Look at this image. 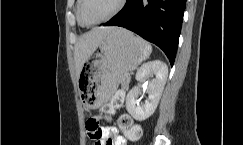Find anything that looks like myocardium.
Listing matches in <instances>:
<instances>
[{"label": "myocardium", "mask_w": 243, "mask_h": 145, "mask_svg": "<svg viewBox=\"0 0 243 145\" xmlns=\"http://www.w3.org/2000/svg\"><path fill=\"white\" fill-rule=\"evenodd\" d=\"M84 3H85V0H79L78 16H79L80 22L86 27H93V26H97L99 24L105 23V22L109 21L110 19H112L113 17H115L117 14H119L126 6L127 0H120L118 6L111 14H109L104 19H102L96 23H93V24L87 23L84 19V15H83Z\"/></svg>", "instance_id": "f54148a6"}]
</instances>
